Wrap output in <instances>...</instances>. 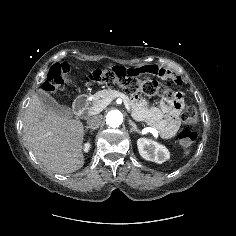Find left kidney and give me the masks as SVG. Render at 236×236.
<instances>
[{"mask_svg":"<svg viewBox=\"0 0 236 236\" xmlns=\"http://www.w3.org/2000/svg\"><path fill=\"white\" fill-rule=\"evenodd\" d=\"M137 146L140 155L148 161L161 164L170 157L168 149L156 141L147 138H140L137 141Z\"/></svg>","mask_w":236,"mask_h":236,"instance_id":"left-kidney-1","label":"left kidney"}]
</instances>
